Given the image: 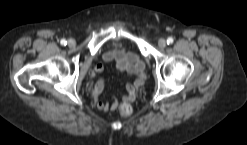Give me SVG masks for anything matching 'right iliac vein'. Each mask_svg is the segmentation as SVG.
Masks as SVG:
<instances>
[{
    "mask_svg": "<svg viewBox=\"0 0 247 145\" xmlns=\"http://www.w3.org/2000/svg\"><path fill=\"white\" fill-rule=\"evenodd\" d=\"M75 45H76V42H75L74 39H69V40H68V46H69V47H74Z\"/></svg>",
    "mask_w": 247,
    "mask_h": 145,
    "instance_id": "63e3f726",
    "label": "right iliac vein"
}]
</instances>
